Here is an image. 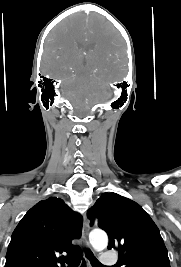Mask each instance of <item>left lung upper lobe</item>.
Masks as SVG:
<instances>
[{
	"instance_id": "1",
	"label": "left lung upper lobe",
	"mask_w": 181,
	"mask_h": 267,
	"mask_svg": "<svg viewBox=\"0 0 181 267\" xmlns=\"http://www.w3.org/2000/svg\"><path fill=\"white\" fill-rule=\"evenodd\" d=\"M109 237L108 249L118 251L116 267H170L159 229L136 202L117 193H103L87 212Z\"/></svg>"
}]
</instances>
